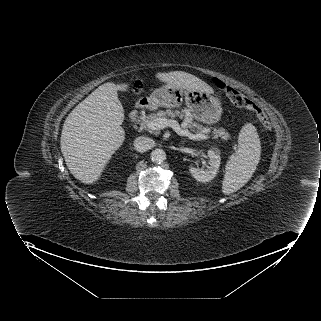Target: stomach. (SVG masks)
<instances>
[{"label": "stomach", "mask_w": 321, "mask_h": 321, "mask_svg": "<svg viewBox=\"0 0 321 321\" xmlns=\"http://www.w3.org/2000/svg\"><path fill=\"white\" fill-rule=\"evenodd\" d=\"M191 111L193 117L206 124L217 123L222 115V106L219 99L202 90H187L165 83L155 89L149 97H146L147 105L151 109L158 107H178L182 100Z\"/></svg>", "instance_id": "0dacf381"}]
</instances>
